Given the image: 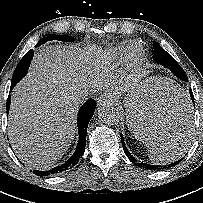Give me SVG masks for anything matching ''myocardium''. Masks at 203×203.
I'll return each mask as SVG.
<instances>
[{
	"label": "myocardium",
	"instance_id": "1",
	"mask_svg": "<svg viewBox=\"0 0 203 203\" xmlns=\"http://www.w3.org/2000/svg\"><path fill=\"white\" fill-rule=\"evenodd\" d=\"M144 58V50L142 45L134 42L131 44V49L127 56V66L129 69L136 68Z\"/></svg>",
	"mask_w": 203,
	"mask_h": 203
}]
</instances>
